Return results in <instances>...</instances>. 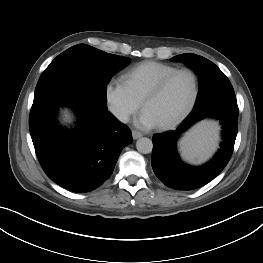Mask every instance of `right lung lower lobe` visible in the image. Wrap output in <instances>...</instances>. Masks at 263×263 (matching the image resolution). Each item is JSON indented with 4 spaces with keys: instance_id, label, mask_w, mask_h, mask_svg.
Listing matches in <instances>:
<instances>
[{
    "instance_id": "1",
    "label": "right lung lower lobe",
    "mask_w": 263,
    "mask_h": 263,
    "mask_svg": "<svg viewBox=\"0 0 263 263\" xmlns=\"http://www.w3.org/2000/svg\"><path fill=\"white\" fill-rule=\"evenodd\" d=\"M69 106L78 116L73 130L62 129L56 114ZM29 128L39 162L47 176L73 192H89L113 173L121 150L132 143L131 131L106 106L74 90L33 101Z\"/></svg>"
}]
</instances>
